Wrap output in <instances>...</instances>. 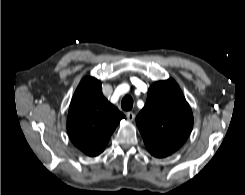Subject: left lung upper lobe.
I'll use <instances>...</instances> for the list:
<instances>
[{"mask_svg": "<svg viewBox=\"0 0 245 195\" xmlns=\"http://www.w3.org/2000/svg\"><path fill=\"white\" fill-rule=\"evenodd\" d=\"M136 124L147 150L154 156L166 157L183 145L192 131L193 115L174 80L152 84Z\"/></svg>", "mask_w": 245, "mask_h": 195, "instance_id": "1", "label": "left lung upper lobe"}]
</instances>
